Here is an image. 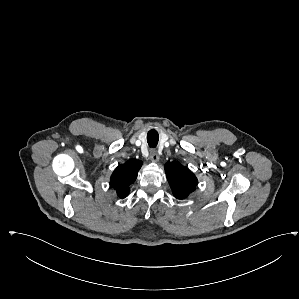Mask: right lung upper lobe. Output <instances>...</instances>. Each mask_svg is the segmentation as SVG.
I'll return each mask as SVG.
<instances>
[{
	"label": "right lung upper lobe",
	"instance_id": "cb5924a9",
	"mask_svg": "<svg viewBox=\"0 0 299 299\" xmlns=\"http://www.w3.org/2000/svg\"><path fill=\"white\" fill-rule=\"evenodd\" d=\"M142 166L138 160H129L119 165L110 178V186L113 187L120 198H125L129 193V186L134 183L137 173Z\"/></svg>",
	"mask_w": 299,
	"mask_h": 299
}]
</instances>
